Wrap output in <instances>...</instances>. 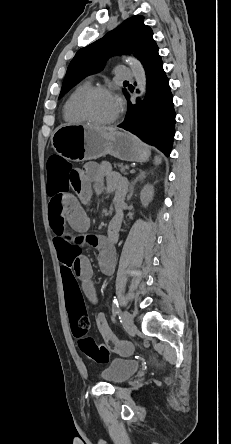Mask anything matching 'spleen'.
Returning <instances> with one entry per match:
<instances>
[{"label":"spleen","instance_id":"1","mask_svg":"<svg viewBox=\"0 0 231 444\" xmlns=\"http://www.w3.org/2000/svg\"><path fill=\"white\" fill-rule=\"evenodd\" d=\"M155 164H160L161 163V158L156 156L154 159Z\"/></svg>","mask_w":231,"mask_h":444}]
</instances>
